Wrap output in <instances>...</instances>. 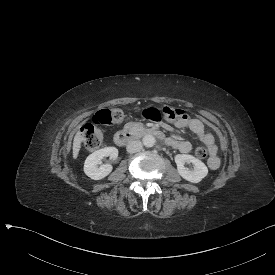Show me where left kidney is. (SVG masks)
Returning <instances> with one entry per match:
<instances>
[{"mask_svg": "<svg viewBox=\"0 0 275 275\" xmlns=\"http://www.w3.org/2000/svg\"><path fill=\"white\" fill-rule=\"evenodd\" d=\"M175 162L178 173L190 182L198 183L208 174L206 165L192 155L178 154L175 156ZM185 163H192L194 166L193 170L186 168L184 166Z\"/></svg>", "mask_w": 275, "mask_h": 275, "instance_id": "obj_1", "label": "left kidney"}]
</instances>
